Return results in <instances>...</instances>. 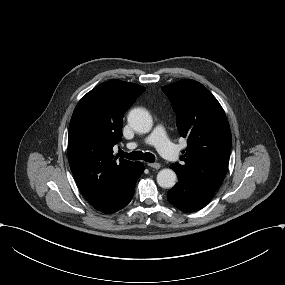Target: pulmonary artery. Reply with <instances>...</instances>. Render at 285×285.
<instances>
[{
    "mask_svg": "<svg viewBox=\"0 0 285 285\" xmlns=\"http://www.w3.org/2000/svg\"><path fill=\"white\" fill-rule=\"evenodd\" d=\"M145 143L153 145L157 148L159 153L165 158H172L170 149L177 155L181 149L180 146L172 144L166 135V130L162 125H157L153 131L144 139ZM138 146L137 142L129 144V148L134 149Z\"/></svg>",
    "mask_w": 285,
    "mask_h": 285,
    "instance_id": "pulmonary-artery-1",
    "label": "pulmonary artery"
}]
</instances>
